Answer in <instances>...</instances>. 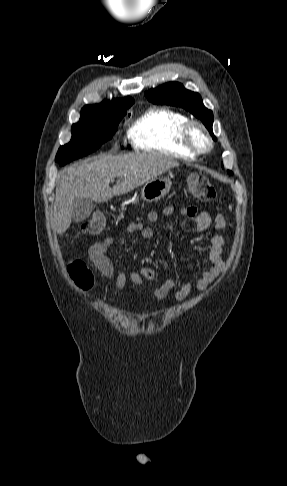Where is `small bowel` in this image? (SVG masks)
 I'll use <instances>...</instances> for the list:
<instances>
[{
    "instance_id": "c3829d8e",
    "label": "small bowel",
    "mask_w": 287,
    "mask_h": 486,
    "mask_svg": "<svg viewBox=\"0 0 287 486\" xmlns=\"http://www.w3.org/2000/svg\"><path fill=\"white\" fill-rule=\"evenodd\" d=\"M176 214L192 220L190 231L193 233L207 232L213 223V219L208 212L199 210L194 206L187 208H174L168 206L161 210H152L148 213L147 218L150 222H157L161 218L171 217ZM214 224L219 232H223L226 228V222L222 215H218L214 219ZM127 231L129 233L138 232L145 240L153 238L155 234L152 227L146 226L142 222H131L127 226ZM114 242V237L108 236L103 240L94 243L89 248L88 252L89 260L106 278L114 277L113 264L108 257V252L113 246ZM224 245L225 240L221 234L215 233L210 235L209 246L205 253L208 261L206 270L200 274L199 278L195 282H186L180 286L174 293V298L176 300L182 301L186 299L190 295L193 288L197 289L198 291L206 290L207 287L219 277V275L225 270L223 256ZM155 277L156 272L150 267H142L132 272L130 275H128L125 271H121L115 278V286L118 290H122L128 280L135 285L141 286L146 280H154ZM176 286V281L172 278H168L154 290L153 296L158 300L164 299L172 290L176 288Z\"/></svg>"
}]
</instances>
